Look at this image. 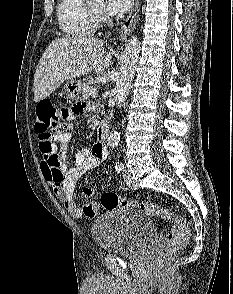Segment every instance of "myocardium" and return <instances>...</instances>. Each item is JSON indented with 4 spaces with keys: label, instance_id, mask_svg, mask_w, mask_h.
Returning a JSON list of instances; mask_svg holds the SVG:
<instances>
[{
    "label": "myocardium",
    "instance_id": "1",
    "mask_svg": "<svg viewBox=\"0 0 233 294\" xmlns=\"http://www.w3.org/2000/svg\"><path fill=\"white\" fill-rule=\"evenodd\" d=\"M90 11L95 20L96 25L103 21L104 19L103 12L96 11L93 8H90Z\"/></svg>",
    "mask_w": 233,
    "mask_h": 294
}]
</instances>
